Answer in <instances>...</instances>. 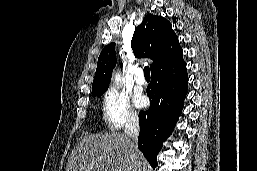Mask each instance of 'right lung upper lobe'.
Here are the masks:
<instances>
[{
	"label": "right lung upper lobe",
	"instance_id": "cb5924a9",
	"mask_svg": "<svg viewBox=\"0 0 257 171\" xmlns=\"http://www.w3.org/2000/svg\"><path fill=\"white\" fill-rule=\"evenodd\" d=\"M131 47L136 57L153 60L151 73L171 66L183 58V51L171 23L158 15L145 16L134 31ZM115 65V43H110L99 55L92 93L107 90Z\"/></svg>",
	"mask_w": 257,
	"mask_h": 171
}]
</instances>
